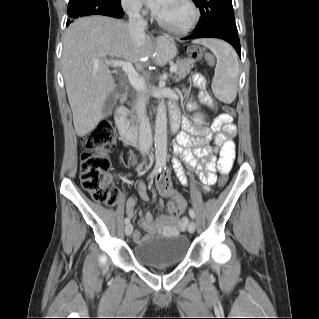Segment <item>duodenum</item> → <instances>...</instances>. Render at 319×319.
Segmentation results:
<instances>
[{
	"instance_id": "410a0bca",
	"label": "duodenum",
	"mask_w": 319,
	"mask_h": 319,
	"mask_svg": "<svg viewBox=\"0 0 319 319\" xmlns=\"http://www.w3.org/2000/svg\"><path fill=\"white\" fill-rule=\"evenodd\" d=\"M115 120L120 136L126 144L135 145L141 142L142 128L131 121L130 113L125 106L121 105L117 108ZM178 126V121L172 118L171 131L175 132Z\"/></svg>"
}]
</instances>
